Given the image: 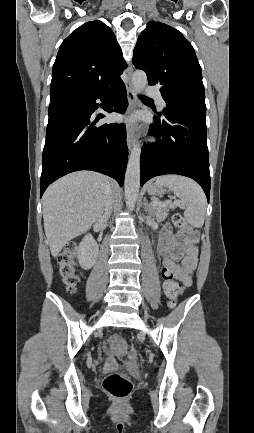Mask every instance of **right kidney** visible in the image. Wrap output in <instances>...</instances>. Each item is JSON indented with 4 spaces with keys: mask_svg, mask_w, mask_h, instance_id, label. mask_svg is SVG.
Instances as JSON below:
<instances>
[{
    "mask_svg": "<svg viewBox=\"0 0 254 433\" xmlns=\"http://www.w3.org/2000/svg\"><path fill=\"white\" fill-rule=\"evenodd\" d=\"M99 251V246L95 242L91 234H87L79 244L78 247V262L80 266L89 270L95 264L97 255Z\"/></svg>",
    "mask_w": 254,
    "mask_h": 433,
    "instance_id": "ca27d5eb",
    "label": "right kidney"
}]
</instances>
